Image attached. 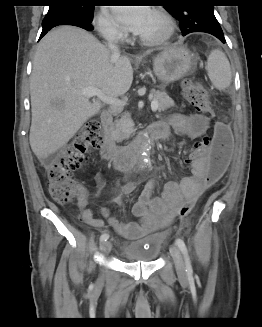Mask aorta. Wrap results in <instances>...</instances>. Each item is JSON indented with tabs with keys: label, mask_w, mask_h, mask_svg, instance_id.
Masks as SVG:
<instances>
[{
	"label": "aorta",
	"mask_w": 262,
	"mask_h": 327,
	"mask_svg": "<svg viewBox=\"0 0 262 327\" xmlns=\"http://www.w3.org/2000/svg\"><path fill=\"white\" fill-rule=\"evenodd\" d=\"M149 153V145L147 142L142 143L141 147V162H140V168H144L145 162L147 160Z\"/></svg>",
	"instance_id": "obj_1"
}]
</instances>
